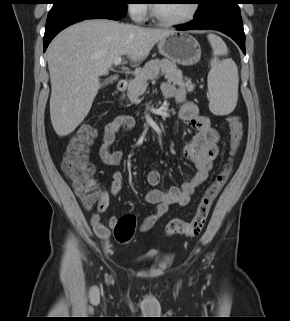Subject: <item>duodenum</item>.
Masks as SVG:
<instances>
[{
    "label": "duodenum",
    "instance_id": "duodenum-1",
    "mask_svg": "<svg viewBox=\"0 0 290 321\" xmlns=\"http://www.w3.org/2000/svg\"><path fill=\"white\" fill-rule=\"evenodd\" d=\"M127 85H128V82H127L126 79H120V80L117 81V83H116V90H117L119 93H123V92L126 91Z\"/></svg>",
    "mask_w": 290,
    "mask_h": 321
}]
</instances>
